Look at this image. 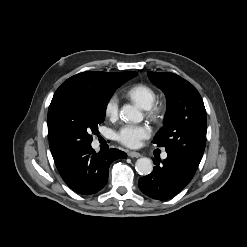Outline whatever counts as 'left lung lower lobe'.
I'll return each instance as SVG.
<instances>
[{
    "label": "left lung lower lobe",
    "instance_id": "obj_1",
    "mask_svg": "<svg viewBox=\"0 0 247 247\" xmlns=\"http://www.w3.org/2000/svg\"><path fill=\"white\" fill-rule=\"evenodd\" d=\"M167 154L162 164L160 158L154 160L153 172L138 182L145 195L158 200H167L182 190L191 181L201 161L189 155Z\"/></svg>",
    "mask_w": 247,
    "mask_h": 247
}]
</instances>
